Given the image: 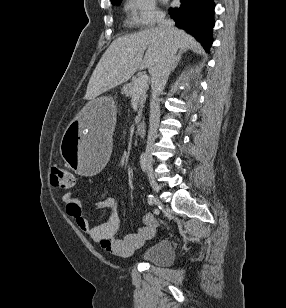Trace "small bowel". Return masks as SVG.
<instances>
[{
	"mask_svg": "<svg viewBox=\"0 0 286 308\" xmlns=\"http://www.w3.org/2000/svg\"><path fill=\"white\" fill-rule=\"evenodd\" d=\"M67 215L74 220L76 226L84 232L92 241L102 249L114 255L127 257L141 247L145 241L154 237L158 228V219L151 213L143 216V226L137 231L116 238L120 226V219L116 210V202L113 197H107L93 205L94 209L108 211L107 220L97 226H91L88 218L84 215L86 206L72 194L63 196Z\"/></svg>",
	"mask_w": 286,
	"mask_h": 308,
	"instance_id": "1",
	"label": "small bowel"
}]
</instances>
